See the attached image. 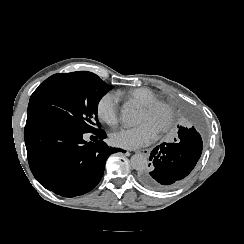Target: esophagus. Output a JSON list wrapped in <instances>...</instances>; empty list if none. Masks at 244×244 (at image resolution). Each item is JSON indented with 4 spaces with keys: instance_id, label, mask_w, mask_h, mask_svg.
I'll return each mask as SVG.
<instances>
[{
    "instance_id": "1",
    "label": "esophagus",
    "mask_w": 244,
    "mask_h": 244,
    "mask_svg": "<svg viewBox=\"0 0 244 244\" xmlns=\"http://www.w3.org/2000/svg\"><path fill=\"white\" fill-rule=\"evenodd\" d=\"M150 151L151 150L149 148H147V149H139V150H136L135 153L143 154L145 156H149Z\"/></svg>"
}]
</instances>
